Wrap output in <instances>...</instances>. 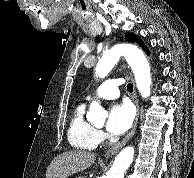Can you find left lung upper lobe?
<instances>
[{
	"mask_svg": "<svg viewBox=\"0 0 194 178\" xmlns=\"http://www.w3.org/2000/svg\"><path fill=\"white\" fill-rule=\"evenodd\" d=\"M125 38L129 42H137V43H139V45H141L143 47L145 52L147 54H149V51H148L147 47L144 45V43L140 40V38L137 35H135L134 33H126L125 34Z\"/></svg>",
	"mask_w": 194,
	"mask_h": 178,
	"instance_id": "5c2ea615",
	"label": "left lung upper lobe"
}]
</instances>
